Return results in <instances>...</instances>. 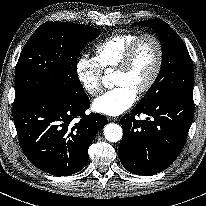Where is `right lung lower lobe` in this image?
I'll return each mask as SVG.
<instances>
[{
	"label": "right lung lower lobe",
	"instance_id": "obj_1",
	"mask_svg": "<svg viewBox=\"0 0 206 206\" xmlns=\"http://www.w3.org/2000/svg\"><path fill=\"white\" fill-rule=\"evenodd\" d=\"M90 100L45 93L13 108L20 146L37 168L55 176L77 173L88 162V148L107 123L101 114L85 115ZM80 121L73 124V119Z\"/></svg>",
	"mask_w": 206,
	"mask_h": 206
}]
</instances>
